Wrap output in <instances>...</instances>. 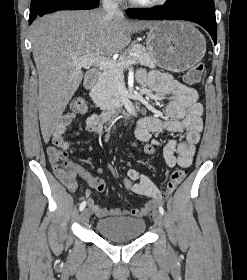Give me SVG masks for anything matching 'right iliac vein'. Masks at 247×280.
Wrapping results in <instances>:
<instances>
[{
	"label": "right iliac vein",
	"mask_w": 247,
	"mask_h": 280,
	"mask_svg": "<svg viewBox=\"0 0 247 280\" xmlns=\"http://www.w3.org/2000/svg\"><path fill=\"white\" fill-rule=\"evenodd\" d=\"M89 217H90L89 209L83 210V212L81 213V222L83 224H86L88 222V220H89Z\"/></svg>",
	"instance_id": "obj_1"
}]
</instances>
